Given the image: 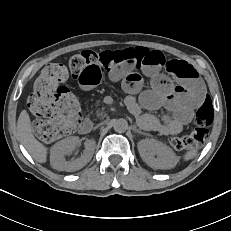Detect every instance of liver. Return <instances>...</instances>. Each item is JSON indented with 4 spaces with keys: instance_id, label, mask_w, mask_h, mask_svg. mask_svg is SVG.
<instances>
[{
    "instance_id": "1",
    "label": "liver",
    "mask_w": 231,
    "mask_h": 231,
    "mask_svg": "<svg viewBox=\"0 0 231 231\" xmlns=\"http://www.w3.org/2000/svg\"><path fill=\"white\" fill-rule=\"evenodd\" d=\"M18 137L28 153L39 163L47 160V148L33 135L31 120L26 110H22L17 121Z\"/></svg>"
}]
</instances>
